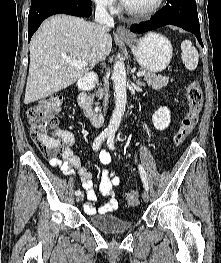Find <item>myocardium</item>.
Wrapping results in <instances>:
<instances>
[{"mask_svg": "<svg viewBox=\"0 0 221 263\" xmlns=\"http://www.w3.org/2000/svg\"><path fill=\"white\" fill-rule=\"evenodd\" d=\"M163 3H164V0H157L156 3L153 6H151L150 8L138 10V9L131 8L130 6H128L126 4V2L123 1V7H124L125 11L132 16L148 17V16L156 13L162 7Z\"/></svg>", "mask_w": 221, "mask_h": 263, "instance_id": "myocardium-1", "label": "myocardium"}]
</instances>
